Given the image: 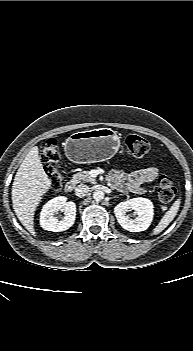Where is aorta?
Here are the masks:
<instances>
[{"mask_svg": "<svg viewBox=\"0 0 193 351\" xmlns=\"http://www.w3.org/2000/svg\"><path fill=\"white\" fill-rule=\"evenodd\" d=\"M104 197H105V194H104V192L102 190H95L93 192V199L95 201H101V200L104 199Z\"/></svg>", "mask_w": 193, "mask_h": 351, "instance_id": "1", "label": "aorta"}]
</instances>
